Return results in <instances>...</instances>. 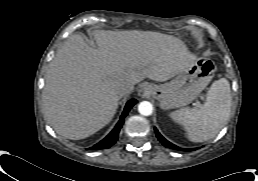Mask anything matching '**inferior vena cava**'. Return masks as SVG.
<instances>
[{"label": "inferior vena cava", "instance_id": "1", "mask_svg": "<svg viewBox=\"0 0 258 181\" xmlns=\"http://www.w3.org/2000/svg\"><path fill=\"white\" fill-rule=\"evenodd\" d=\"M134 90V86L131 84L122 85L119 88V95L120 97L127 95L128 93L132 92Z\"/></svg>", "mask_w": 258, "mask_h": 181}]
</instances>
